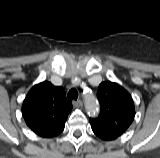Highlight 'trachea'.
<instances>
[{
	"label": "trachea",
	"mask_w": 160,
	"mask_h": 158,
	"mask_svg": "<svg viewBox=\"0 0 160 158\" xmlns=\"http://www.w3.org/2000/svg\"><path fill=\"white\" fill-rule=\"evenodd\" d=\"M67 96L69 99L76 100L78 98V92L76 89H70Z\"/></svg>",
	"instance_id": "trachea-1"
}]
</instances>
